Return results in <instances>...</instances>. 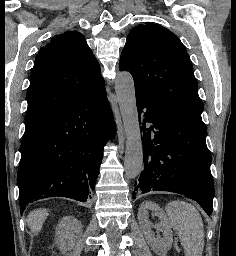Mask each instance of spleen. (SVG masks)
I'll list each match as a JSON object with an SVG mask.
<instances>
[{"label": "spleen", "mask_w": 236, "mask_h": 256, "mask_svg": "<svg viewBox=\"0 0 236 256\" xmlns=\"http://www.w3.org/2000/svg\"><path fill=\"white\" fill-rule=\"evenodd\" d=\"M174 230H177L185 256H202L204 248V224L191 204L170 202L166 208Z\"/></svg>", "instance_id": "3e777b00"}]
</instances>
